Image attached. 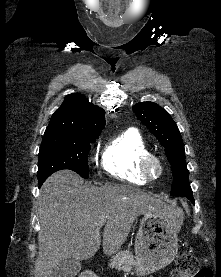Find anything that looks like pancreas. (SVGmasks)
<instances>
[{"label": "pancreas", "mask_w": 221, "mask_h": 277, "mask_svg": "<svg viewBox=\"0 0 221 277\" xmlns=\"http://www.w3.org/2000/svg\"><path fill=\"white\" fill-rule=\"evenodd\" d=\"M134 265V256L130 251L118 252L110 260L109 267L129 270Z\"/></svg>", "instance_id": "pancreas-1"}]
</instances>
